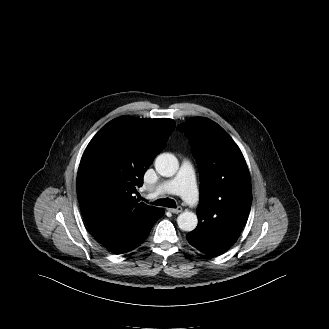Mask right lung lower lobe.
<instances>
[{
    "label": "right lung lower lobe",
    "instance_id": "obj_1",
    "mask_svg": "<svg viewBox=\"0 0 329 329\" xmlns=\"http://www.w3.org/2000/svg\"><path fill=\"white\" fill-rule=\"evenodd\" d=\"M163 208L131 220L113 219L93 232L94 237L114 254H122L140 246L154 223L164 215Z\"/></svg>",
    "mask_w": 329,
    "mask_h": 329
}]
</instances>
